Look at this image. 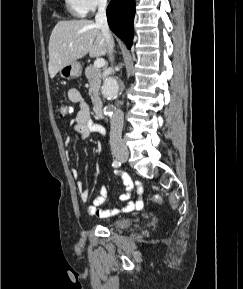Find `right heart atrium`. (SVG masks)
I'll return each mask as SVG.
<instances>
[{
  "mask_svg": "<svg viewBox=\"0 0 243 289\" xmlns=\"http://www.w3.org/2000/svg\"><path fill=\"white\" fill-rule=\"evenodd\" d=\"M66 2L76 13L86 15L106 6L108 0H66Z\"/></svg>",
  "mask_w": 243,
  "mask_h": 289,
  "instance_id": "obj_1",
  "label": "right heart atrium"
}]
</instances>
